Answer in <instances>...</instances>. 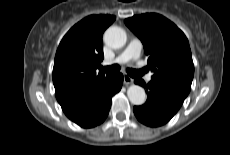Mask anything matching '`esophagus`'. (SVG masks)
Masks as SVG:
<instances>
[{
    "label": "esophagus",
    "instance_id": "1",
    "mask_svg": "<svg viewBox=\"0 0 230 155\" xmlns=\"http://www.w3.org/2000/svg\"><path fill=\"white\" fill-rule=\"evenodd\" d=\"M123 78H124L125 85H130L134 82V79L128 76L127 74H124Z\"/></svg>",
    "mask_w": 230,
    "mask_h": 155
}]
</instances>
